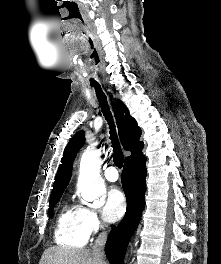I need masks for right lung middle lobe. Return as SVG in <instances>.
I'll list each match as a JSON object with an SVG mask.
<instances>
[{
  "instance_id": "right-lung-middle-lobe-1",
  "label": "right lung middle lobe",
  "mask_w": 221,
  "mask_h": 264,
  "mask_svg": "<svg viewBox=\"0 0 221 264\" xmlns=\"http://www.w3.org/2000/svg\"><path fill=\"white\" fill-rule=\"evenodd\" d=\"M62 194L54 197V198H51L50 201H49V206H50V213L52 214V209L54 208L55 204L57 203V201L60 199ZM50 214V215H51Z\"/></svg>"
}]
</instances>
